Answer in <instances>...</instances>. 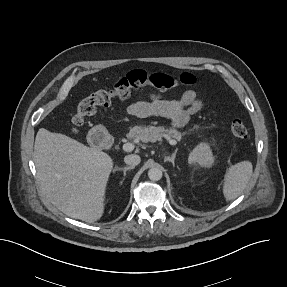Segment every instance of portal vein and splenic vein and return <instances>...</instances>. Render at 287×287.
I'll use <instances>...</instances> for the list:
<instances>
[{
  "mask_svg": "<svg viewBox=\"0 0 287 287\" xmlns=\"http://www.w3.org/2000/svg\"><path fill=\"white\" fill-rule=\"evenodd\" d=\"M166 139L168 140L170 145L175 146L177 144V142L174 139L170 138V137H167ZM122 149L125 152H130V151H132L134 149V145L132 143H125V144H123Z\"/></svg>",
  "mask_w": 287,
  "mask_h": 287,
  "instance_id": "obj_1",
  "label": "portal vein and splenic vein"
}]
</instances>
